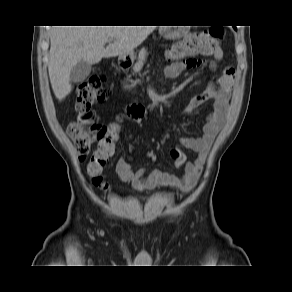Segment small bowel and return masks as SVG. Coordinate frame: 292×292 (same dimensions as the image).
I'll list each match as a JSON object with an SVG mask.
<instances>
[{"mask_svg": "<svg viewBox=\"0 0 292 292\" xmlns=\"http://www.w3.org/2000/svg\"><path fill=\"white\" fill-rule=\"evenodd\" d=\"M223 56L222 49L216 48L213 52L211 66L216 67L222 61ZM202 64L203 61L199 59L176 61L165 68L164 75L168 79H175L184 70L197 68ZM234 80L235 70L231 67L226 68L216 83L210 82L205 91L194 96L186 106L185 113L191 115L196 113L205 101L214 100L213 108L203 128V134L198 138L182 140V145L196 153L197 157L193 162H187L183 154L176 158L175 165L184 168L181 178L160 170H152L148 173L144 169L134 170L127 159L121 158L116 164V173L120 180L130 183L137 190L166 186L184 193L192 191L204 168L208 151L225 122Z\"/></svg>", "mask_w": 292, "mask_h": 292, "instance_id": "small-bowel-1", "label": "small bowel"}]
</instances>
